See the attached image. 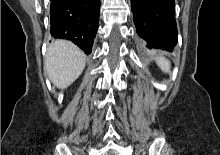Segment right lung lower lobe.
Listing matches in <instances>:
<instances>
[{
  "instance_id": "right-lung-lower-lobe-1",
  "label": "right lung lower lobe",
  "mask_w": 220,
  "mask_h": 155,
  "mask_svg": "<svg viewBox=\"0 0 220 155\" xmlns=\"http://www.w3.org/2000/svg\"><path fill=\"white\" fill-rule=\"evenodd\" d=\"M100 0H51L50 33L91 53L99 22Z\"/></svg>"
}]
</instances>
